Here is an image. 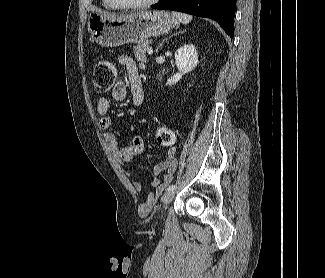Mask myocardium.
<instances>
[{
	"instance_id": "1",
	"label": "myocardium",
	"mask_w": 325,
	"mask_h": 278,
	"mask_svg": "<svg viewBox=\"0 0 325 278\" xmlns=\"http://www.w3.org/2000/svg\"><path fill=\"white\" fill-rule=\"evenodd\" d=\"M117 7L122 9H143L156 4L159 0H146L140 3H131L124 0H111Z\"/></svg>"
}]
</instances>
